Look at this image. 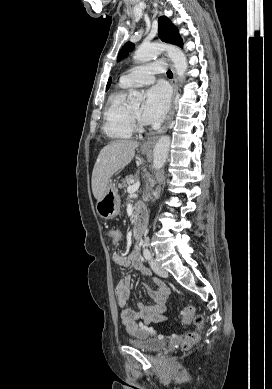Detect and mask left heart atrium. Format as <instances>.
I'll return each instance as SVG.
<instances>
[{
    "mask_svg": "<svg viewBox=\"0 0 272 389\" xmlns=\"http://www.w3.org/2000/svg\"><path fill=\"white\" fill-rule=\"evenodd\" d=\"M170 103V94L163 85H155L146 93L141 119L148 124H156L165 117Z\"/></svg>",
    "mask_w": 272,
    "mask_h": 389,
    "instance_id": "left-heart-atrium-1",
    "label": "left heart atrium"
}]
</instances>
